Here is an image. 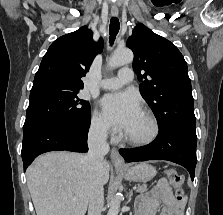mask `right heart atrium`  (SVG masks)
<instances>
[{
	"label": "right heart atrium",
	"instance_id": "d8ad5b80",
	"mask_svg": "<svg viewBox=\"0 0 223 215\" xmlns=\"http://www.w3.org/2000/svg\"><path fill=\"white\" fill-rule=\"evenodd\" d=\"M90 129L91 132L98 138H106L112 132L109 124L98 112H94L92 115Z\"/></svg>",
	"mask_w": 223,
	"mask_h": 215
}]
</instances>
